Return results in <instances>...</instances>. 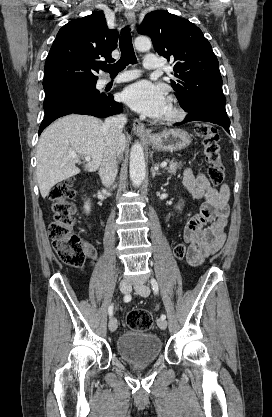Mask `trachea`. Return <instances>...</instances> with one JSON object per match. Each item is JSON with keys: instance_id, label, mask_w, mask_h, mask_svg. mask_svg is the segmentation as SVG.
I'll return each mask as SVG.
<instances>
[{"instance_id": "trachea-1", "label": "trachea", "mask_w": 272, "mask_h": 417, "mask_svg": "<svg viewBox=\"0 0 272 417\" xmlns=\"http://www.w3.org/2000/svg\"><path fill=\"white\" fill-rule=\"evenodd\" d=\"M119 47L121 50V57L118 62L105 66L104 71L108 72L110 75H117L122 71L128 64H135L137 58L132 45V38L130 34V29L128 26L122 29L121 36L119 39Z\"/></svg>"}]
</instances>
